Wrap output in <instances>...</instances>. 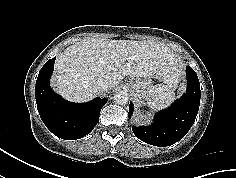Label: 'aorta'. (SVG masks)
Segmentation results:
<instances>
[{
  "instance_id": "obj_1",
  "label": "aorta",
  "mask_w": 236,
  "mask_h": 178,
  "mask_svg": "<svg viewBox=\"0 0 236 178\" xmlns=\"http://www.w3.org/2000/svg\"><path fill=\"white\" fill-rule=\"evenodd\" d=\"M114 100L118 105H124L129 100V95L126 91H118L114 95Z\"/></svg>"
}]
</instances>
